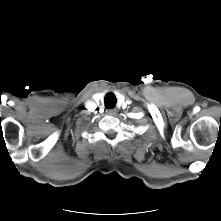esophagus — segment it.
I'll return each instance as SVG.
<instances>
[{"mask_svg":"<svg viewBox=\"0 0 221 221\" xmlns=\"http://www.w3.org/2000/svg\"><path fill=\"white\" fill-rule=\"evenodd\" d=\"M107 113H108L109 115L115 116V115L117 114V109H108V110H107Z\"/></svg>","mask_w":221,"mask_h":221,"instance_id":"obj_1","label":"esophagus"}]
</instances>
